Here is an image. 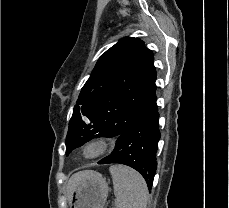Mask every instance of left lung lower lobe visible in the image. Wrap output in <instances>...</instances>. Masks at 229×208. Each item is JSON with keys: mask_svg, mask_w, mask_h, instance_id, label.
Returning <instances> with one entry per match:
<instances>
[{"mask_svg": "<svg viewBox=\"0 0 229 208\" xmlns=\"http://www.w3.org/2000/svg\"><path fill=\"white\" fill-rule=\"evenodd\" d=\"M158 116L155 104L148 112L141 114L124 128L117 138L116 147L111 155L100 160L98 164L119 163L130 166L144 177L148 188L151 189L157 169V144L161 137ZM101 136L114 137L115 133H98L94 137Z\"/></svg>", "mask_w": 229, "mask_h": 208, "instance_id": "left-lung-lower-lobe-1", "label": "left lung lower lobe"}]
</instances>
